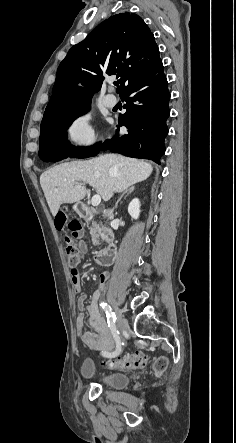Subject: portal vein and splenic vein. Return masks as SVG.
Masks as SVG:
<instances>
[{
    "label": "portal vein and splenic vein",
    "mask_w": 236,
    "mask_h": 443,
    "mask_svg": "<svg viewBox=\"0 0 236 443\" xmlns=\"http://www.w3.org/2000/svg\"><path fill=\"white\" fill-rule=\"evenodd\" d=\"M76 186H77V188H80V187H81L80 184H77ZM100 203H101V197H100V195H94V196L92 197V200H91V204H92V206L97 207Z\"/></svg>",
    "instance_id": "18ae733b"
}]
</instances>
